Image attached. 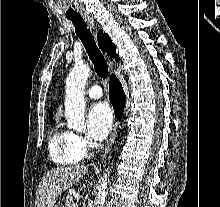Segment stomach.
Masks as SVG:
<instances>
[{
	"label": "stomach",
	"instance_id": "0dacf381",
	"mask_svg": "<svg viewBox=\"0 0 220 207\" xmlns=\"http://www.w3.org/2000/svg\"><path fill=\"white\" fill-rule=\"evenodd\" d=\"M54 207H59V206H57V205H54Z\"/></svg>",
	"mask_w": 220,
	"mask_h": 207
}]
</instances>
